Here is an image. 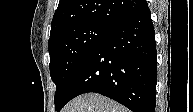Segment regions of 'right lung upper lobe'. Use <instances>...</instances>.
<instances>
[{
	"label": "right lung upper lobe",
	"instance_id": "1",
	"mask_svg": "<svg viewBox=\"0 0 193 112\" xmlns=\"http://www.w3.org/2000/svg\"><path fill=\"white\" fill-rule=\"evenodd\" d=\"M146 5V0H60L51 22L50 38L67 27L82 23L112 29Z\"/></svg>",
	"mask_w": 193,
	"mask_h": 112
}]
</instances>
